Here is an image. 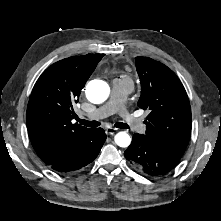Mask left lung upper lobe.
<instances>
[{"label": "left lung upper lobe", "instance_id": "5c2ea615", "mask_svg": "<svg viewBox=\"0 0 221 221\" xmlns=\"http://www.w3.org/2000/svg\"><path fill=\"white\" fill-rule=\"evenodd\" d=\"M141 83L138 107L148 110V141L181 158L191 135V107L187 93L176 74L164 64L148 57H136Z\"/></svg>", "mask_w": 221, "mask_h": 221}]
</instances>
